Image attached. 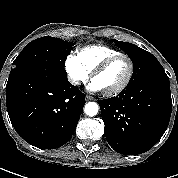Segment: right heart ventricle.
<instances>
[{"label":"right heart ventricle","mask_w":178,"mask_h":178,"mask_svg":"<svg viewBox=\"0 0 178 178\" xmlns=\"http://www.w3.org/2000/svg\"><path fill=\"white\" fill-rule=\"evenodd\" d=\"M120 53V51L110 46L89 45L81 48L77 55L85 68L91 73L105 59Z\"/></svg>","instance_id":"right-heart-ventricle-1"}]
</instances>
